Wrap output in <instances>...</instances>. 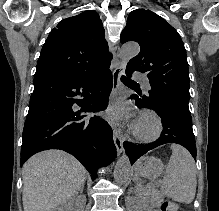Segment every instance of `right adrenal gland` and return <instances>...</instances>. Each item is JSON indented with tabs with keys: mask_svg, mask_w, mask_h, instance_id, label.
I'll return each mask as SVG.
<instances>
[{
	"mask_svg": "<svg viewBox=\"0 0 219 211\" xmlns=\"http://www.w3.org/2000/svg\"><path fill=\"white\" fill-rule=\"evenodd\" d=\"M83 189H84V185H83V187H80L79 191H77V193H75V195H78V193H82Z\"/></svg>",
	"mask_w": 219,
	"mask_h": 211,
	"instance_id": "right-adrenal-gland-1",
	"label": "right adrenal gland"
}]
</instances>
